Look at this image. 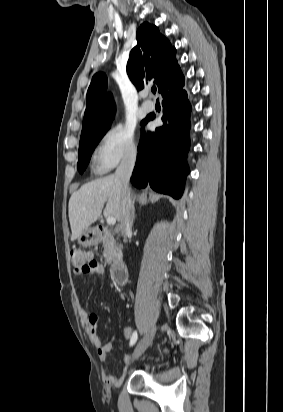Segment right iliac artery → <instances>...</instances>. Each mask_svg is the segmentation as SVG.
Here are the masks:
<instances>
[{"mask_svg":"<svg viewBox=\"0 0 283 412\" xmlns=\"http://www.w3.org/2000/svg\"><path fill=\"white\" fill-rule=\"evenodd\" d=\"M137 338H138L137 332L134 331V332H133V335H132V337H131V339H130V346H133V345L136 343Z\"/></svg>","mask_w":283,"mask_h":412,"instance_id":"right-iliac-artery-1","label":"right iliac artery"}]
</instances>
